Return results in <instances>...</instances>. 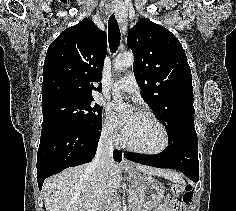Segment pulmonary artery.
I'll return each mask as SVG.
<instances>
[{"mask_svg": "<svg viewBox=\"0 0 236 211\" xmlns=\"http://www.w3.org/2000/svg\"><path fill=\"white\" fill-rule=\"evenodd\" d=\"M116 90H121L127 93H134L138 90L137 80L133 75H126L115 85Z\"/></svg>", "mask_w": 236, "mask_h": 211, "instance_id": "e3ab8cb5", "label": "pulmonary artery"}]
</instances>
